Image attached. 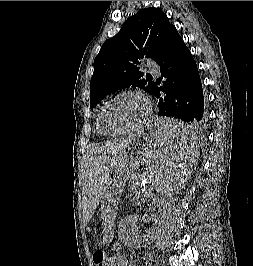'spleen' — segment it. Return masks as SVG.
<instances>
[{
  "label": "spleen",
  "instance_id": "1",
  "mask_svg": "<svg viewBox=\"0 0 253 266\" xmlns=\"http://www.w3.org/2000/svg\"><path fill=\"white\" fill-rule=\"evenodd\" d=\"M151 124L154 132H164V138L147 151L151 160H140L138 176L128 177L124 192L133 194L134 199H159L160 194L170 199L174 187H184V179L192 173L199 156L196 123H176V117H152Z\"/></svg>",
  "mask_w": 253,
  "mask_h": 266
}]
</instances>
